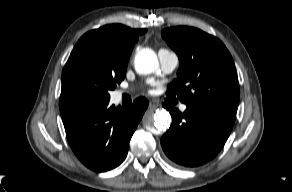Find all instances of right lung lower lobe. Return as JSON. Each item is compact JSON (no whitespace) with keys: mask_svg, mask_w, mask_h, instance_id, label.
<instances>
[{"mask_svg":"<svg viewBox=\"0 0 292 192\" xmlns=\"http://www.w3.org/2000/svg\"><path fill=\"white\" fill-rule=\"evenodd\" d=\"M109 101L60 100V113L68 142L79 160L91 170L104 172L120 165L148 101L115 108Z\"/></svg>","mask_w":292,"mask_h":192,"instance_id":"98d812e1","label":"right lung lower lobe"}]
</instances>
